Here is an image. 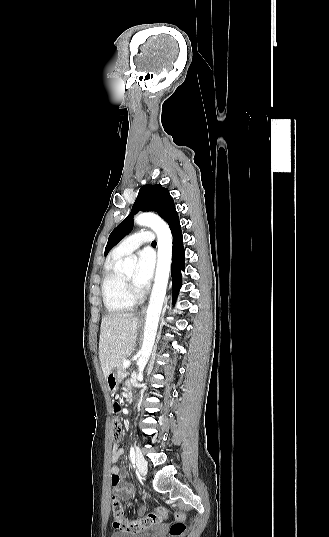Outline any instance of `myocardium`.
<instances>
[{"instance_id": "1", "label": "myocardium", "mask_w": 329, "mask_h": 537, "mask_svg": "<svg viewBox=\"0 0 329 537\" xmlns=\"http://www.w3.org/2000/svg\"><path fill=\"white\" fill-rule=\"evenodd\" d=\"M122 281H123L124 289H125L127 295L132 300L137 299L139 297V294L137 293V291L134 288L133 284L125 277V275H122Z\"/></svg>"}]
</instances>
